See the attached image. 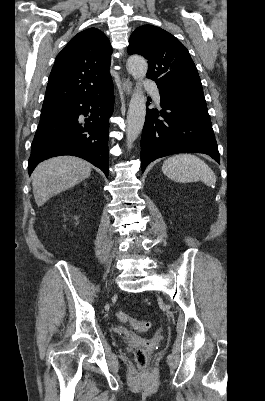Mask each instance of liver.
Returning <instances> with one entry per match:
<instances>
[{
  "instance_id": "1",
  "label": "liver",
  "mask_w": 265,
  "mask_h": 401,
  "mask_svg": "<svg viewBox=\"0 0 265 401\" xmlns=\"http://www.w3.org/2000/svg\"><path fill=\"white\" fill-rule=\"evenodd\" d=\"M91 168L90 162L77 156H55L40 162L31 176L36 205L42 207L54 194L88 178Z\"/></svg>"
}]
</instances>
